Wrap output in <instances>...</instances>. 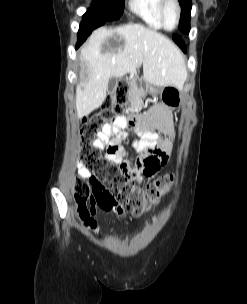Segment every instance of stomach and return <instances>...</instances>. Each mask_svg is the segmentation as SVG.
Returning <instances> with one entry per match:
<instances>
[{"instance_id": "1", "label": "stomach", "mask_w": 247, "mask_h": 304, "mask_svg": "<svg viewBox=\"0 0 247 304\" xmlns=\"http://www.w3.org/2000/svg\"><path fill=\"white\" fill-rule=\"evenodd\" d=\"M153 93L159 94L161 101L169 108H178L182 105L181 91L175 86H165L159 90L154 89Z\"/></svg>"}]
</instances>
